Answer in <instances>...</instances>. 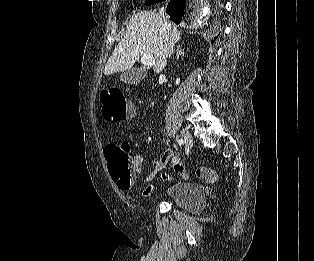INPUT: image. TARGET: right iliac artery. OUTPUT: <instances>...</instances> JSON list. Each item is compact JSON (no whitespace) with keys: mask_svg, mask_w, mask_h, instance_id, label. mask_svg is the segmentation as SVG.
Segmentation results:
<instances>
[{"mask_svg":"<svg viewBox=\"0 0 314 261\" xmlns=\"http://www.w3.org/2000/svg\"><path fill=\"white\" fill-rule=\"evenodd\" d=\"M178 144H179V145H183V144H184L183 139H179V140H178Z\"/></svg>","mask_w":314,"mask_h":261,"instance_id":"obj_1","label":"right iliac artery"}]
</instances>
